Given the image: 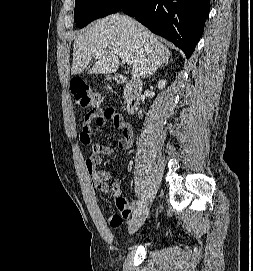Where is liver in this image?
Segmentation results:
<instances>
[{"label":"liver","mask_w":253,"mask_h":271,"mask_svg":"<svg viewBox=\"0 0 253 271\" xmlns=\"http://www.w3.org/2000/svg\"><path fill=\"white\" fill-rule=\"evenodd\" d=\"M133 61V79L153 75L167 64L171 52L142 24L128 16L113 14L80 31L74 41L71 73H81L94 58L90 74H111L119 68V53Z\"/></svg>","instance_id":"obj_1"}]
</instances>
